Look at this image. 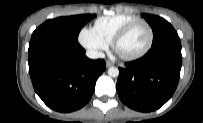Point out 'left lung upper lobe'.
<instances>
[{
    "instance_id": "5c2ea615",
    "label": "left lung upper lobe",
    "mask_w": 203,
    "mask_h": 123,
    "mask_svg": "<svg viewBox=\"0 0 203 123\" xmlns=\"http://www.w3.org/2000/svg\"><path fill=\"white\" fill-rule=\"evenodd\" d=\"M142 16L146 19L153 30L152 46L157 45L169 38L178 37L175 29L165 19L150 14H143Z\"/></svg>"
}]
</instances>
